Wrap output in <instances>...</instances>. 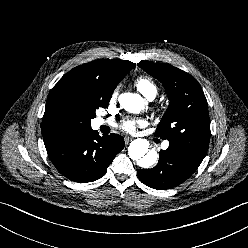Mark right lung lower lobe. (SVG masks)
<instances>
[{"label": "right lung lower lobe", "mask_w": 248, "mask_h": 248, "mask_svg": "<svg viewBox=\"0 0 248 248\" xmlns=\"http://www.w3.org/2000/svg\"><path fill=\"white\" fill-rule=\"evenodd\" d=\"M48 156L66 178L85 183L101 178L114 157L124 148V139L111 133L99 137L92 129L62 131L43 137Z\"/></svg>", "instance_id": "1"}]
</instances>
